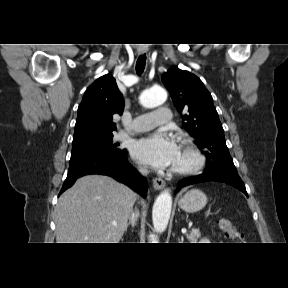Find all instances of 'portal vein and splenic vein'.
<instances>
[{"mask_svg":"<svg viewBox=\"0 0 288 288\" xmlns=\"http://www.w3.org/2000/svg\"><path fill=\"white\" fill-rule=\"evenodd\" d=\"M114 225H116V224L114 223ZM181 231L183 234H186V232H187V230L185 228H183Z\"/></svg>","mask_w":288,"mask_h":288,"instance_id":"1","label":"portal vein and splenic vein"}]
</instances>
